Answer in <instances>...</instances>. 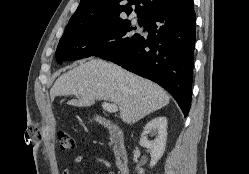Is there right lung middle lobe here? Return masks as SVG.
Returning a JSON list of instances; mask_svg holds the SVG:
<instances>
[{"mask_svg": "<svg viewBox=\"0 0 249 174\" xmlns=\"http://www.w3.org/2000/svg\"><path fill=\"white\" fill-rule=\"evenodd\" d=\"M139 23L143 25L144 20ZM136 29L122 18L66 27L56 50V60L62 64L63 61L120 52L141 36L139 33L128 36L129 31Z\"/></svg>", "mask_w": 249, "mask_h": 174, "instance_id": "1", "label": "right lung middle lobe"}]
</instances>
